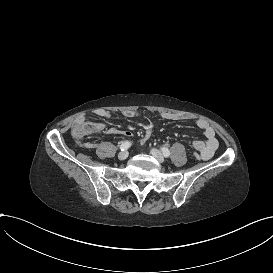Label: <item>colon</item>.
<instances>
[{
  "instance_id": "colon-1",
  "label": "colon",
  "mask_w": 273,
  "mask_h": 273,
  "mask_svg": "<svg viewBox=\"0 0 273 273\" xmlns=\"http://www.w3.org/2000/svg\"><path fill=\"white\" fill-rule=\"evenodd\" d=\"M151 129H149L150 131ZM148 131V132H149ZM94 133V127L92 124L87 123L86 119L83 117H78L70 124V130L69 135L73 139H78L81 137V135L85 137H90ZM152 137L151 133L146 134V138L142 142H138L137 146L142 147L143 145H146Z\"/></svg>"
}]
</instances>
